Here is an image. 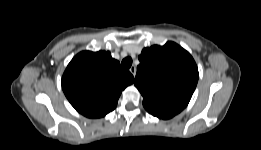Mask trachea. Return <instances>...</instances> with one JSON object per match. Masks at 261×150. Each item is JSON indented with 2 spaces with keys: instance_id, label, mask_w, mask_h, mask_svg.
<instances>
[{
  "instance_id": "3493384b",
  "label": "trachea",
  "mask_w": 261,
  "mask_h": 150,
  "mask_svg": "<svg viewBox=\"0 0 261 150\" xmlns=\"http://www.w3.org/2000/svg\"><path fill=\"white\" fill-rule=\"evenodd\" d=\"M132 65V59L130 57H126L122 60V66L124 68H130Z\"/></svg>"
}]
</instances>
